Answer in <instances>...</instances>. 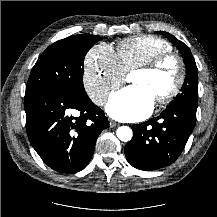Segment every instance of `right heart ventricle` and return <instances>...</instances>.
I'll list each match as a JSON object with an SVG mask.
<instances>
[{"label": "right heart ventricle", "instance_id": "e07e8e85", "mask_svg": "<svg viewBox=\"0 0 217 217\" xmlns=\"http://www.w3.org/2000/svg\"><path fill=\"white\" fill-rule=\"evenodd\" d=\"M169 52H172V46L166 40L142 35L121 40L116 55L124 71L128 72Z\"/></svg>", "mask_w": 217, "mask_h": 217}]
</instances>
